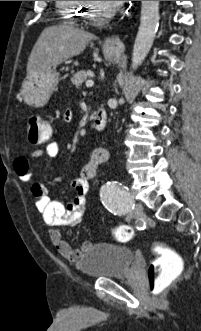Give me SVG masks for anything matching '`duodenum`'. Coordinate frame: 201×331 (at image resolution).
Listing matches in <instances>:
<instances>
[{
	"label": "duodenum",
	"mask_w": 201,
	"mask_h": 331,
	"mask_svg": "<svg viewBox=\"0 0 201 331\" xmlns=\"http://www.w3.org/2000/svg\"><path fill=\"white\" fill-rule=\"evenodd\" d=\"M107 123V114L105 110L102 108L97 109L94 112V118H93V127L95 130L100 131L102 130Z\"/></svg>",
	"instance_id": "1"
}]
</instances>
